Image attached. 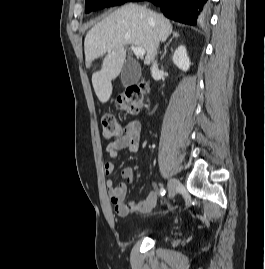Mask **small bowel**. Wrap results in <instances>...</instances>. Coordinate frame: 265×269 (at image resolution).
I'll list each match as a JSON object with an SVG mask.
<instances>
[{
  "instance_id": "obj_1",
  "label": "small bowel",
  "mask_w": 265,
  "mask_h": 269,
  "mask_svg": "<svg viewBox=\"0 0 265 269\" xmlns=\"http://www.w3.org/2000/svg\"><path fill=\"white\" fill-rule=\"evenodd\" d=\"M142 135V125L137 120L127 122L124 128V133L106 145V153L112 159L116 158L122 151L137 152L140 145ZM106 175H111L114 166L111 162L104 165ZM120 177L122 181L116 183L113 179H108L106 183L107 192L111 205L116 214L125 217L130 213H149L156 204L157 192L151 191L147 197L140 202L125 203L127 193V185L134 180V170L131 167H124L121 170Z\"/></svg>"
}]
</instances>
